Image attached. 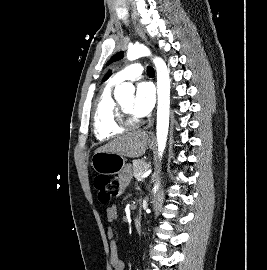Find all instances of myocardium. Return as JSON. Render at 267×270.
Returning a JSON list of instances; mask_svg holds the SVG:
<instances>
[{"label": "myocardium", "mask_w": 267, "mask_h": 270, "mask_svg": "<svg viewBox=\"0 0 267 270\" xmlns=\"http://www.w3.org/2000/svg\"><path fill=\"white\" fill-rule=\"evenodd\" d=\"M116 119L117 123L125 129L136 128L141 124V120L138 118H132L125 111V109L122 107L120 103H117Z\"/></svg>", "instance_id": "f54148a6"}]
</instances>
